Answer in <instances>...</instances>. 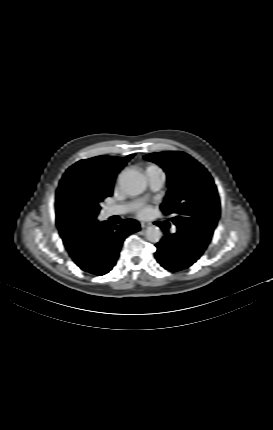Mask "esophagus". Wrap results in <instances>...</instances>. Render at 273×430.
<instances>
[{"mask_svg": "<svg viewBox=\"0 0 273 430\" xmlns=\"http://www.w3.org/2000/svg\"><path fill=\"white\" fill-rule=\"evenodd\" d=\"M140 225H141V228H146V227L150 226L151 223L150 222H141Z\"/></svg>", "mask_w": 273, "mask_h": 430, "instance_id": "34e87169", "label": "esophagus"}]
</instances>
